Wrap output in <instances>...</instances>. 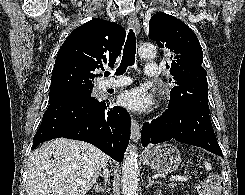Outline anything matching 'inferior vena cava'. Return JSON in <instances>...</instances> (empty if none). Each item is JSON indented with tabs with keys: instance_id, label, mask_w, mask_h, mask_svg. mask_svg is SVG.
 Returning <instances> with one entry per match:
<instances>
[{
	"instance_id": "1",
	"label": "inferior vena cava",
	"mask_w": 245,
	"mask_h": 195,
	"mask_svg": "<svg viewBox=\"0 0 245 195\" xmlns=\"http://www.w3.org/2000/svg\"><path fill=\"white\" fill-rule=\"evenodd\" d=\"M103 169H104V173H103L104 179H105V182L107 183V181H108V176H109V172H108V170H107V168H106V165L103 167Z\"/></svg>"
}]
</instances>
